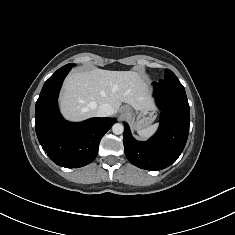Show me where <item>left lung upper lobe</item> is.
Segmentation results:
<instances>
[{"instance_id":"left-lung-upper-lobe-1","label":"left lung upper lobe","mask_w":235,"mask_h":235,"mask_svg":"<svg viewBox=\"0 0 235 235\" xmlns=\"http://www.w3.org/2000/svg\"><path fill=\"white\" fill-rule=\"evenodd\" d=\"M165 75H164V81L168 82H179L178 78L176 75L169 69H165Z\"/></svg>"}]
</instances>
